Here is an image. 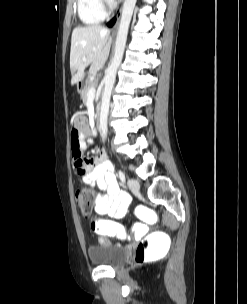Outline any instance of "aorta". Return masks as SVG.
Masks as SVG:
<instances>
[{
    "label": "aorta",
    "instance_id": "aorta-1",
    "mask_svg": "<svg viewBox=\"0 0 247 304\" xmlns=\"http://www.w3.org/2000/svg\"><path fill=\"white\" fill-rule=\"evenodd\" d=\"M136 1L137 0H125L124 2L121 20L117 32L114 56L111 60L109 67L107 68L106 75L104 77V90L102 94L99 126L100 133L103 139H106L107 137V118L109 113L111 92L115 83L117 69L123 57L128 29Z\"/></svg>",
    "mask_w": 247,
    "mask_h": 304
}]
</instances>
